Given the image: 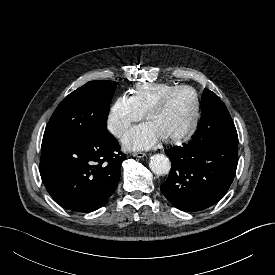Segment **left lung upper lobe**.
<instances>
[{
  "instance_id": "obj_1",
  "label": "left lung upper lobe",
  "mask_w": 275,
  "mask_h": 275,
  "mask_svg": "<svg viewBox=\"0 0 275 275\" xmlns=\"http://www.w3.org/2000/svg\"><path fill=\"white\" fill-rule=\"evenodd\" d=\"M238 144V135L223 101L212 91L204 89L202 114L193 139L195 144Z\"/></svg>"
}]
</instances>
